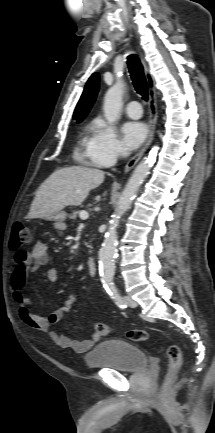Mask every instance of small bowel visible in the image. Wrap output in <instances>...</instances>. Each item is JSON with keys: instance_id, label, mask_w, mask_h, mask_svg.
Returning <instances> with one entry per match:
<instances>
[{"instance_id": "1", "label": "small bowel", "mask_w": 215, "mask_h": 433, "mask_svg": "<svg viewBox=\"0 0 215 433\" xmlns=\"http://www.w3.org/2000/svg\"><path fill=\"white\" fill-rule=\"evenodd\" d=\"M49 262L47 245L38 241L31 251L18 250L14 254L15 268L10 279V289L17 304L20 319L29 327L47 333L50 339L60 348L71 349L76 353H85L90 350L99 340L100 335L92 333L88 339L77 340L71 336L52 330L51 327L58 325L64 314L69 311L76 302V295H70L63 305L55 308L48 317L36 314L29 299L24 294V288L28 275ZM59 270L51 267L46 272V279L49 282L57 281Z\"/></svg>"}]
</instances>
